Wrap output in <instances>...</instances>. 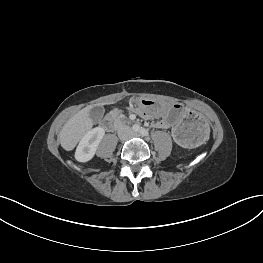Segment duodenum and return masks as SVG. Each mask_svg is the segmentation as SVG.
<instances>
[{"instance_id": "duodenum-1", "label": "duodenum", "mask_w": 263, "mask_h": 263, "mask_svg": "<svg viewBox=\"0 0 263 263\" xmlns=\"http://www.w3.org/2000/svg\"><path fill=\"white\" fill-rule=\"evenodd\" d=\"M104 125L108 129H114L119 125V121L116 119V117L110 115L105 118Z\"/></svg>"}]
</instances>
